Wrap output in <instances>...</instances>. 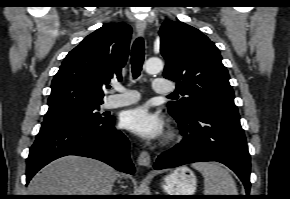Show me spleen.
<instances>
[{"mask_svg":"<svg viewBox=\"0 0 290 199\" xmlns=\"http://www.w3.org/2000/svg\"><path fill=\"white\" fill-rule=\"evenodd\" d=\"M204 177V195H238L234 179L215 162L192 164Z\"/></svg>","mask_w":290,"mask_h":199,"instance_id":"3e777b00","label":"spleen"}]
</instances>
